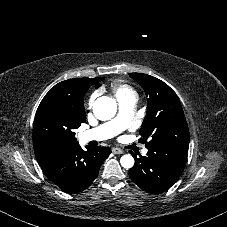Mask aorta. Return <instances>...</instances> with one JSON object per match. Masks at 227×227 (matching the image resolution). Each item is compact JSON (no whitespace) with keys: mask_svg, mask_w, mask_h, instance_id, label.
I'll use <instances>...</instances> for the list:
<instances>
[{"mask_svg":"<svg viewBox=\"0 0 227 227\" xmlns=\"http://www.w3.org/2000/svg\"><path fill=\"white\" fill-rule=\"evenodd\" d=\"M117 112V103L114 99L103 96L98 98L93 105V113L99 120L105 121L113 118ZM122 167L130 169L134 166V158L130 154L123 155L120 159Z\"/></svg>","mask_w":227,"mask_h":227,"instance_id":"aorta-1","label":"aorta"}]
</instances>
